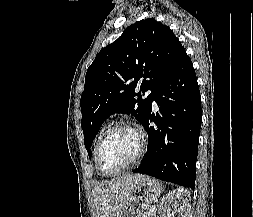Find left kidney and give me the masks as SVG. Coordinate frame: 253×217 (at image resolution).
Instances as JSON below:
<instances>
[{
	"mask_svg": "<svg viewBox=\"0 0 253 217\" xmlns=\"http://www.w3.org/2000/svg\"><path fill=\"white\" fill-rule=\"evenodd\" d=\"M190 202V194L184 188H178L169 192L160 202V217H186ZM171 205L174 211L171 213Z\"/></svg>",
	"mask_w": 253,
	"mask_h": 217,
	"instance_id": "obj_1",
	"label": "left kidney"
}]
</instances>
